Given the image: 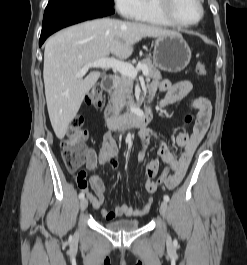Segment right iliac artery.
<instances>
[{"label": "right iliac artery", "mask_w": 247, "mask_h": 265, "mask_svg": "<svg viewBox=\"0 0 247 265\" xmlns=\"http://www.w3.org/2000/svg\"><path fill=\"white\" fill-rule=\"evenodd\" d=\"M84 193L83 192H81L80 194H79V199H83L84 198Z\"/></svg>", "instance_id": "obj_1"}]
</instances>
